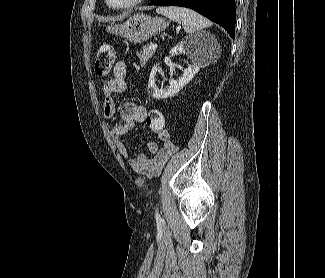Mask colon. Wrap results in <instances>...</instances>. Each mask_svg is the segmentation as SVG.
<instances>
[{
  "label": "colon",
  "mask_w": 325,
  "mask_h": 278,
  "mask_svg": "<svg viewBox=\"0 0 325 278\" xmlns=\"http://www.w3.org/2000/svg\"><path fill=\"white\" fill-rule=\"evenodd\" d=\"M116 58L115 48L110 44H104L98 50L94 69L95 73L99 77H106L114 63ZM145 122L147 126L156 133H164L166 123L163 113L160 110L152 109L147 113Z\"/></svg>",
  "instance_id": "1"
}]
</instances>
